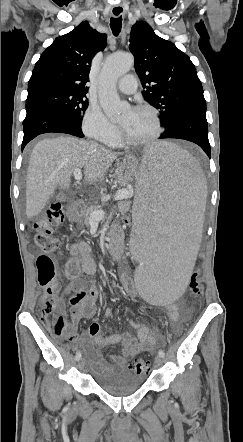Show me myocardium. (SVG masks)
<instances>
[{
  "label": "myocardium",
  "mask_w": 243,
  "mask_h": 442,
  "mask_svg": "<svg viewBox=\"0 0 243 442\" xmlns=\"http://www.w3.org/2000/svg\"><path fill=\"white\" fill-rule=\"evenodd\" d=\"M134 111H149L152 113L155 123H156V131L154 134L148 138L142 139V140H132L128 138L124 132V130L119 126V139L121 143L128 145V146H144L147 144H150L154 141H156L162 134L163 127H162V120L159 115L158 110L148 104H140L132 108Z\"/></svg>",
  "instance_id": "myocardium-1"
}]
</instances>
